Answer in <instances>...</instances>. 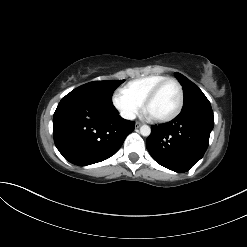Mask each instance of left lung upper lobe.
<instances>
[{"instance_id":"5c2ea615","label":"left lung upper lobe","mask_w":247,"mask_h":247,"mask_svg":"<svg viewBox=\"0 0 247 247\" xmlns=\"http://www.w3.org/2000/svg\"><path fill=\"white\" fill-rule=\"evenodd\" d=\"M175 75L178 81L180 82V84L183 86V92H184L183 107L197 101L207 100L204 93L188 78L177 72L175 73Z\"/></svg>"}]
</instances>
